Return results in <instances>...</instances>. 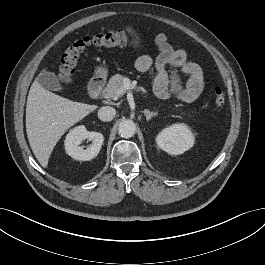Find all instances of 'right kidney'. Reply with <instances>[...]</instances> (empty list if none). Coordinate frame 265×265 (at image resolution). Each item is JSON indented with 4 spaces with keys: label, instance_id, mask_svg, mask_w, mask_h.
<instances>
[{
    "label": "right kidney",
    "instance_id": "obj_1",
    "mask_svg": "<svg viewBox=\"0 0 265 265\" xmlns=\"http://www.w3.org/2000/svg\"><path fill=\"white\" fill-rule=\"evenodd\" d=\"M88 139L92 144L84 149L80 144ZM103 135L99 132H89L84 126L72 129L65 139L66 153L72 158L80 161H88L96 157L103 143Z\"/></svg>",
    "mask_w": 265,
    "mask_h": 265
}]
</instances>
